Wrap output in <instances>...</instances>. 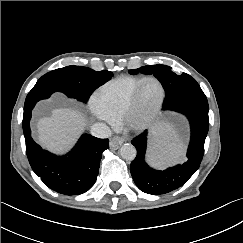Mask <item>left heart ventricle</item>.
Masks as SVG:
<instances>
[{"mask_svg":"<svg viewBox=\"0 0 243 243\" xmlns=\"http://www.w3.org/2000/svg\"><path fill=\"white\" fill-rule=\"evenodd\" d=\"M160 88L155 82H148L142 88L134 109V115L140 117L149 111L158 101Z\"/></svg>","mask_w":243,"mask_h":243,"instance_id":"1","label":"left heart ventricle"}]
</instances>
